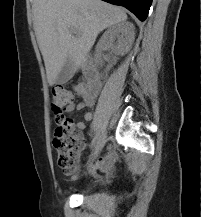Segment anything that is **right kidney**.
Masks as SVG:
<instances>
[{"label":"right kidney","instance_id":"1","mask_svg":"<svg viewBox=\"0 0 202 217\" xmlns=\"http://www.w3.org/2000/svg\"><path fill=\"white\" fill-rule=\"evenodd\" d=\"M135 39L134 25L129 22L117 23L110 26L102 35L96 47L97 58L101 61V54L105 46L111 47L115 55H125L130 50ZM116 41V43H114Z\"/></svg>","mask_w":202,"mask_h":217}]
</instances>
